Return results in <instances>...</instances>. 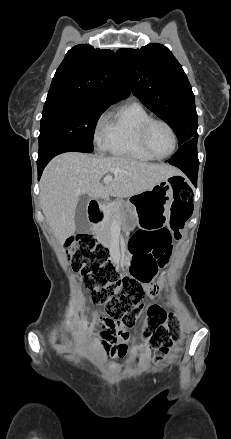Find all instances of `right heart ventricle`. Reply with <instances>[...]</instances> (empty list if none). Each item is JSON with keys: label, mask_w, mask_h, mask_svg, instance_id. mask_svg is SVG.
<instances>
[{"label": "right heart ventricle", "mask_w": 231, "mask_h": 439, "mask_svg": "<svg viewBox=\"0 0 231 439\" xmlns=\"http://www.w3.org/2000/svg\"><path fill=\"white\" fill-rule=\"evenodd\" d=\"M151 115L139 102L126 103L109 115L100 142L103 151L119 157L138 161H152V157L141 145L140 131Z\"/></svg>", "instance_id": "obj_1"}]
</instances>
